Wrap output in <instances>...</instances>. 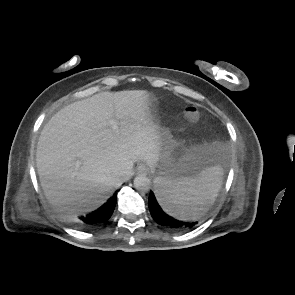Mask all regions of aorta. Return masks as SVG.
<instances>
[{"label": "aorta", "mask_w": 295, "mask_h": 295, "mask_svg": "<svg viewBox=\"0 0 295 295\" xmlns=\"http://www.w3.org/2000/svg\"><path fill=\"white\" fill-rule=\"evenodd\" d=\"M133 184L137 190L144 192H147L151 186L150 179L146 175L136 176Z\"/></svg>", "instance_id": "762f6f07"}]
</instances>
